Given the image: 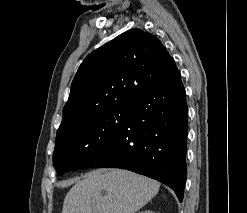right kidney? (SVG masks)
Returning a JSON list of instances; mask_svg holds the SVG:
<instances>
[{"instance_id": "ca27d5eb", "label": "right kidney", "mask_w": 247, "mask_h": 213, "mask_svg": "<svg viewBox=\"0 0 247 213\" xmlns=\"http://www.w3.org/2000/svg\"><path fill=\"white\" fill-rule=\"evenodd\" d=\"M138 213H154V212L151 211V210H145V211H140V212H138Z\"/></svg>"}]
</instances>
